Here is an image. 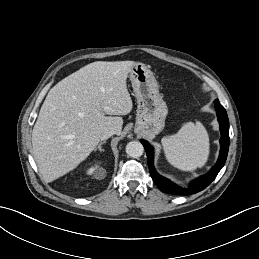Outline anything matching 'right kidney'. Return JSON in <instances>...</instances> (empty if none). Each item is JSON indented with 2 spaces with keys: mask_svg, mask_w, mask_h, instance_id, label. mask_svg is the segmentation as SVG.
Listing matches in <instances>:
<instances>
[{
  "mask_svg": "<svg viewBox=\"0 0 259 259\" xmlns=\"http://www.w3.org/2000/svg\"><path fill=\"white\" fill-rule=\"evenodd\" d=\"M96 168H97V166L89 168L87 170V174H89V175L93 174Z\"/></svg>",
  "mask_w": 259,
  "mask_h": 259,
  "instance_id": "obj_1",
  "label": "right kidney"
}]
</instances>
